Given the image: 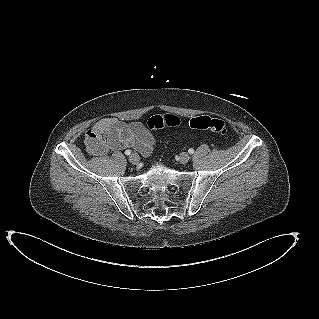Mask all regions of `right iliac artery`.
I'll use <instances>...</instances> for the list:
<instances>
[{
  "instance_id": "1",
  "label": "right iliac artery",
  "mask_w": 319,
  "mask_h": 319,
  "mask_svg": "<svg viewBox=\"0 0 319 319\" xmlns=\"http://www.w3.org/2000/svg\"><path fill=\"white\" fill-rule=\"evenodd\" d=\"M130 153H131L130 150H126V151H125V154H126V155H130Z\"/></svg>"
}]
</instances>
